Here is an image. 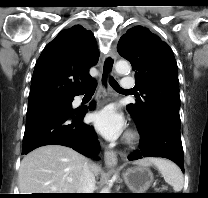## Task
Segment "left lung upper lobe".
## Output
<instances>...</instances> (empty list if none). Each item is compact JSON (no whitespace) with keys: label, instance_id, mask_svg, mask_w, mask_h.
<instances>
[{"label":"left lung upper lobe","instance_id":"obj_1","mask_svg":"<svg viewBox=\"0 0 208 198\" xmlns=\"http://www.w3.org/2000/svg\"><path fill=\"white\" fill-rule=\"evenodd\" d=\"M117 50L135 71V87L141 97L129 104L127 110L138 130L156 116L180 125L178 69L169 45L148 28L135 26L120 38Z\"/></svg>","mask_w":208,"mask_h":198}]
</instances>
